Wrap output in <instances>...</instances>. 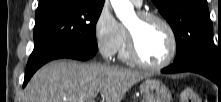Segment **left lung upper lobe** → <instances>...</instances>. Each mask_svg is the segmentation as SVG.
<instances>
[{"instance_id": "obj_1", "label": "left lung upper lobe", "mask_w": 221, "mask_h": 102, "mask_svg": "<svg viewBox=\"0 0 221 102\" xmlns=\"http://www.w3.org/2000/svg\"><path fill=\"white\" fill-rule=\"evenodd\" d=\"M173 29L177 43L174 62L201 59L221 71V50L215 49L206 0H152Z\"/></svg>"}]
</instances>
